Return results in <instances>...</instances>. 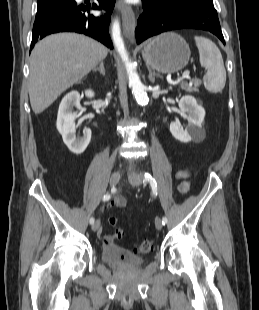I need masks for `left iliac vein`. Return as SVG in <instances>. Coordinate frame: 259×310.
I'll use <instances>...</instances> for the list:
<instances>
[{
    "mask_svg": "<svg viewBox=\"0 0 259 310\" xmlns=\"http://www.w3.org/2000/svg\"><path fill=\"white\" fill-rule=\"evenodd\" d=\"M128 179L131 185L138 187L141 184L142 176L139 175L138 173L132 172L129 174ZM155 226L158 230H161L163 227L162 221L159 217H156L155 219Z\"/></svg>",
    "mask_w": 259,
    "mask_h": 310,
    "instance_id": "left-iliac-vein-1",
    "label": "left iliac vein"
}]
</instances>
